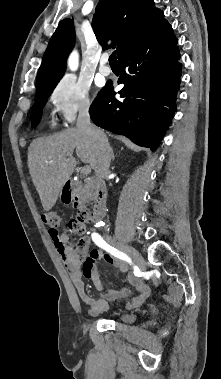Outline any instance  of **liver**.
<instances>
[{
    "label": "liver",
    "mask_w": 221,
    "mask_h": 379,
    "mask_svg": "<svg viewBox=\"0 0 221 379\" xmlns=\"http://www.w3.org/2000/svg\"><path fill=\"white\" fill-rule=\"evenodd\" d=\"M74 151L82 162L95 169L98 143L78 128L35 139L28 148L29 172L45 211L55 205L63 185L73 173Z\"/></svg>",
    "instance_id": "obj_1"
}]
</instances>
